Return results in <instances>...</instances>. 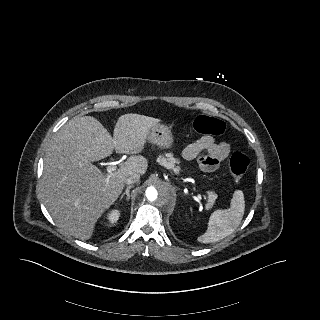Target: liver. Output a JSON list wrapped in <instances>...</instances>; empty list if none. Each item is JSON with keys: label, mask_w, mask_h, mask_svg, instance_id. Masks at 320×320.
<instances>
[{"label": "liver", "mask_w": 320, "mask_h": 320, "mask_svg": "<svg viewBox=\"0 0 320 320\" xmlns=\"http://www.w3.org/2000/svg\"><path fill=\"white\" fill-rule=\"evenodd\" d=\"M159 119L128 113L118 118L113 138L91 116L69 120L47 149L42 180L43 202L58 227L80 239L91 238L95 224L119 197L125 178L145 174L143 151L149 129ZM132 154L117 171L102 173L93 161L113 151Z\"/></svg>", "instance_id": "1"}]
</instances>
